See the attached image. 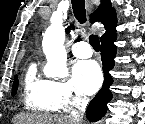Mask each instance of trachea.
I'll use <instances>...</instances> for the list:
<instances>
[{
	"label": "trachea",
	"mask_w": 145,
	"mask_h": 124,
	"mask_svg": "<svg viewBox=\"0 0 145 124\" xmlns=\"http://www.w3.org/2000/svg\"><path fill=\"white\" fill-rule=\"evenodd\" d=\"M72 8L76 19L82 24L85 23L86 22L85 1L72 0ZM89 42L95 51L100 50V42L97 35H91L89 37Z\"/></svg>",
	"instance_id": "trachea-1"
}]
</instances>
